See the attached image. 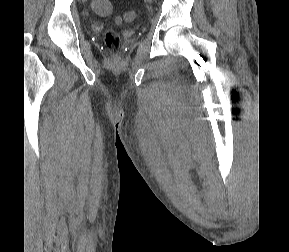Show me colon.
Returning <instances> with one entry per match:
<instances>
[{
  "label": "colon",
  "mask_w": 289,
  "mask_h": 252,
  "mask_svg": "<svg viewBox=\"0 0 289 252\" xmlns=\"http://www.w3.org/2000/svg\"><path fill=\"white\" fill-rule=\"evenodd\" d=\"M94 10L100 15H108L112 11V4L110 0H94ZM136 13L134 11H128L125 14L127 21L134 20ZM104 42L109 50L111 56L117 59L120 55L121 50V38L119 34L113 29H107L104 33Z\"/></svg>",
  "instance_id": "colon-1"
}]
</instances>
